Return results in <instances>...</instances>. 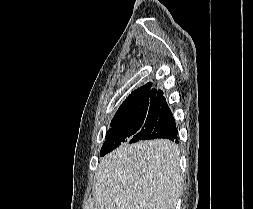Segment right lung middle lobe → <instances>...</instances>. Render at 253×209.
Listing matches in <instances>:
<instances>
[{"label": "right lung middle lobe", "instance_id": "dd1d6c3e", "mask_svg": "<svg viewBox=\"0 0 253 209\" xmlns=\"http://www.w3.org/2000/svg\"><path fill=\"white\" fill-rule=\"evenodd\" d=\"M158 115L156 109L146 108L113 119L100 156H104L124 142L134 143L142 140L141 136L155 126Z\"/></svg>", "mask_w": 253, "mask_h": 209}]
</instances>
